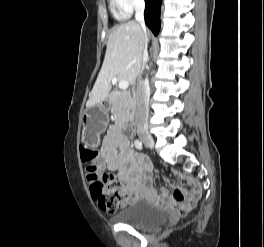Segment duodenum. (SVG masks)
I'll return each mask as SVG.
<instances>
[{
	"label": "duodenum",
	"instance_id": "duodenum-1",
	"mask_svg": "<svg viewBox=\"0 0 264 247\" xmlns=\"http://www.w3.org/2000/svg\"><path fill=\"white\" fill-rule=\"evenodd\" d=\"M124 129L131 135L135 132V127H134V124L131 120H129L125 123Z\"/></svg>",
	"mask_w": 264,
	"mask_h": 247
}]
</instances>
